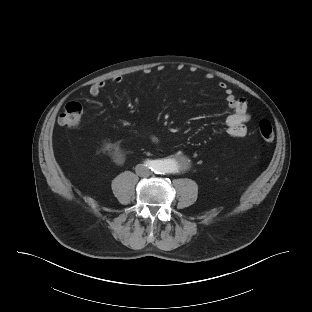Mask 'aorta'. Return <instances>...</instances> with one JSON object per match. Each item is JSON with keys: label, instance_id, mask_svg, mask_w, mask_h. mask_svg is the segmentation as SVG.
Listing matches in <instances>:
<instances>
[{"label": "aorta", "instance_id": "aorta-1", "mask_svg": "<svg viewBox=\"0 0 312 312\" xmlns=\"http://www.w3.org/2000/svg\"><path fill=\"white\" fill-rule=\"evenodd\" d=\"M180 161L173 158L164 159L161 162L160 170L164 173H174L178 170Z\"/></svg>", "mask_w": 312, "mask_h": 312}]
</instances>
